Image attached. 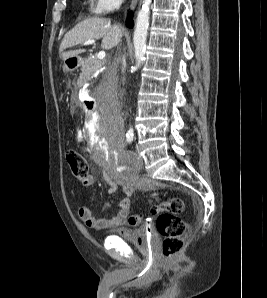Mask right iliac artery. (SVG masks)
Returning a JSON list of instances; mask_svg holds the SVG:
<instances>
[{"mask_svg":"<svg viewBox=\"0 0 267 298\" xmlns=\"http://www.w3.org/2000/svg\"><path fill=\"white\" fill-rule=\"evenodd\" d=\"M127 142L131 143L133 141V135H127Z\"/></svg>","mask_w":267,"mask_h":298,"instance_id":"right-iliac-artery-1","label":"right iliac artery"}]
</instances>
